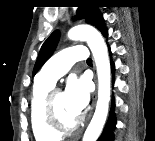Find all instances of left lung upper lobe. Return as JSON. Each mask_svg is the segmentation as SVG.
Listing matches in <instances>:
<instances>
[{
  "mask_svg": "<svg viewBox=\"0 0 155 141\" xmlns=\"http://www.w3.org/2000/svg\"><path fill=\"white\" fill-rule=\"evenodd\" d=\"M94 3L90 1H84L77 10L78 18H86L91 24L98 27L101 33L105 36L107 34V29L104 24V19L102 14L97 9ZM59 40V32L54 31L48 39L43 43L37 61L33 69V75L40 69V67L45 63V61L52 55Z\"/></svg>",
  "mask_w": 155,
  "mask_h": 141,
  "instance_id": "5c2ea615",
  "label": "left lung upper lobe"
}]
</instances>
